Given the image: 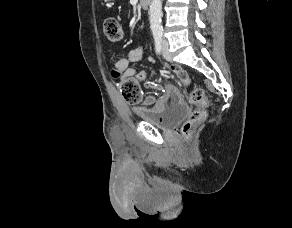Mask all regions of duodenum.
<instances>
[{"label": "duodenum", "instance_id": "1", "mask_svg": "<svg viewBox=\"0 0 292 228\" xmlns=\"http://www.w3.org/2000/svg\"><path fill=\"white\" fill-rule=\"evenodd\" d=\"M139 4L141 6V8H148L151 4V0H139Z\"/></svg>", "mask_w": 292, "mask_h": 228}]
</instances>
